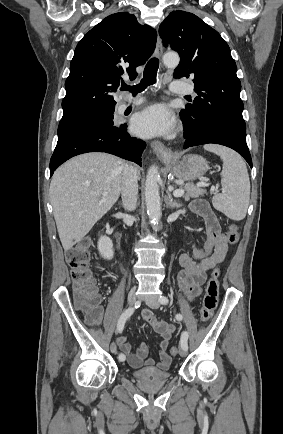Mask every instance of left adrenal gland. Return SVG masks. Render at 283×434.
<instances>
[{
	"mask_svg": "<svg viewBox=\"0 0 283 434\" xmlns=\"http://www.w3.org/2000/svg\"><path fill=\"white\" fill-rule=\"evenodd\" d=\"M167 199H166V205L167 207L174 209V208H180L181 204L177 203L175 200H173L171 194L167 191Z\"/></svg>",
	"mask_w": 283,
	"mask_h": 434,
	"instance_id": "1",
	"label": "left adrenal gland"
}]
</instances>
